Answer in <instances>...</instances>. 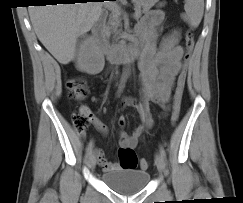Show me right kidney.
Wrapping results in <instances>:
<instances>
[{"label": "right kidney", "mask_w": 243, "mask_h": 203, "mask_svg": "<svg viewBox=\"0 0 243 203\" xmlns=\"http://www.w3.org/2000/svg\"><path fill=\"white\" fill-rule=\"evenodd\" d=\"M104 55L92 37L85 38L76 55V68L90 75L100 73L104 68Z\"/></svg>", "instance_id": "obj_1"}]
</instances>
